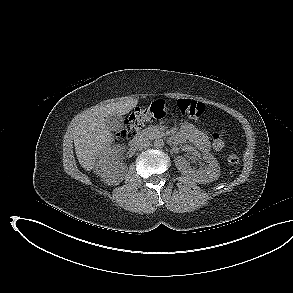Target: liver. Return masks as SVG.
<instances>
[{
  "label": "liver",
  "instance_id": "1",
  "mask_svg": "<svg viewBox=\"0 0 293 293\" xmlns=\"http://www.w3.org/2000/svg\"><path fill=\"white\" fill-rule=\"evenodd\" d=\"M137 104V99L126 97L118 102L95 106L75 118L71 132L77 159L85 170L95 169L101 175L103 169L119 163L125 147L113 143L114 136L105 125V118L125 115Z\"/></svg>",
  "mask_w": 293,
  "mask_h": 293
}]
</instances>
